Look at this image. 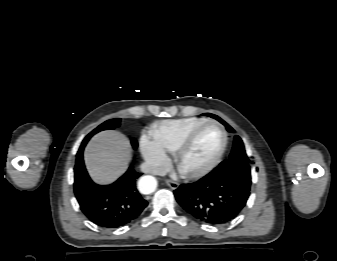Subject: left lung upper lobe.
I'll use <instances>...</instances> for the list:
<instances>
[{"mask_svg": "<svg viewBox=\"0 0 337 261\" xmlns=\"http://www.w3.org/2000/svg\"><path fill=\"white\" fill-rule=\"evenodd\" d=\"M223 123L229 131L232 128L215 115H209ZM212 172L225 173L244 184L248 189L251 186L250 160L245 152L244 144L239 136L234 137V145L229 159L223 161Z\"/></svg>", "mask_w": 337, "mask_h": 261, "instance_id": "obj_1", "label": "left lung upper lobe"}]
</instances>
